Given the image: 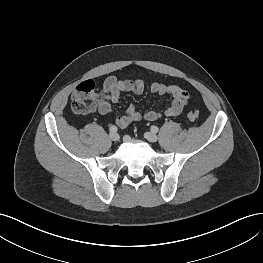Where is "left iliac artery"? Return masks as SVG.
Wrapping results in <instances>:
<instances>
[{
    "mask_svg": "<svg viewBox=\"0 0 263 263\" xmlns=\"http://www.w3.org/2000/svg\"><path fill=\"white\" fill-rule=\"evenodd\" d=\"M158 127L157 126H151V131L154 132V133H157L158 132Z\"/></svg>",
    "mask_w": 263,
    "mask_h": 263,
    "instance_id": "left-iliac-artery-1",
    "label": "left iliac artery"
}]
</instances>
